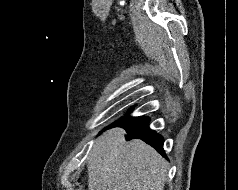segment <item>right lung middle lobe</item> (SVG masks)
Segmentation results:
<instances>
[{"instance_id": "obj_1", "label": "right lung middle lobe", "mask_w": 238, "mask_h": 190, "mask_svg": "<svg viewBox=\"0 0 238 190\" xmlns=\"http://www.w3.org/2000/svg\"><path fill=\"white\" fill-rule=\"evenodd\" d=\"M135 118H138V117H131V116H126V117H123L119 120H117L116 122H114L113 124L109 125L107 128H105L104 130L108 129V128H111V127H115V126H118L120 124H123L125 122H128L130 120H133Z\"/></svg>"}]
</instances>
